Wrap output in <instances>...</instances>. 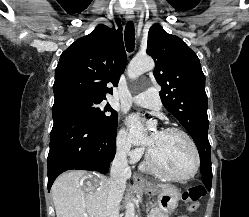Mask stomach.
<instances>
[{
    "instance_id": "obj_1",
    "label": "stomach",
    "mask_w": 249,
    "mask_h": 217,
    "mask_svg": "<svg viewBox=\"0 0 249 217\" xmlns=\"http://www.w3.org/2000/svg\"><path fill=\"white\" fill-rule=\"evenodd\" d=\"M145 193L157 195L158 207L165 213H172L178 206L180 193L175 186L168 185L166 188H159L150 184L141 188Z\"/></svg>"
}]
</instances>
